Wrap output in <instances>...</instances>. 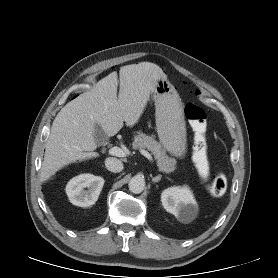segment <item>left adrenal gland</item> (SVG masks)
<instances>
[{"label": "left adrenal gland", "mask_w": 278, "mask_h": 278, "mask_svg": "<svg viewBox=\"0 0 278 278\" xmlns=\"http://www.w3.org/2000/svg\"><path fill=\"white\" fill-rule=\"evenodd\" d=\"M161 178H162V175H158L156 177H153L152 178V182L157 183V182H159L161 180Z\"/></svg>", "instance_id": "obj_1"}]
</instances>
